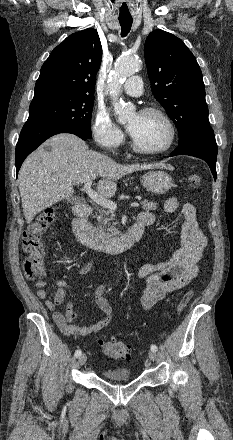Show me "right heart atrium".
<instances>
[{"mask_svg":"<svg viewBox=\"0 0 233 440\" xmlns=\"http://www.w3.org/2000/svg\"><path fill=\"white\" fill-rule=\"evenodd\" d=\"M91 131L97 144L107 151L117 150L125 140L123 131L113 122L109 114L100 108L93 114Z\"/></svg>","mask_w":233,"mask_h":440,"instance_id":"d8ad5b80","label":"right heart atrium"}]
</instances>
